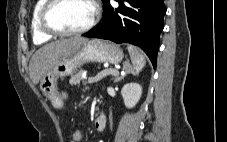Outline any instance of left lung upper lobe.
<instances>
[{
	"label": "left lung upper lobe",
	"mask_w": 227,
	"mask_h": 142,
	"mask_svg": "<svg viewBox=\"0 0 227 142\" xmlns=\"http://www.w3.org/2000/svg\"><path fill=\"white\" fill-rule=\"evenodd\" d=\"M104 3V7L109 3V0H102Z\"/></svg>",
	"instance_id": "5c2ea615"
}]
</instances>
